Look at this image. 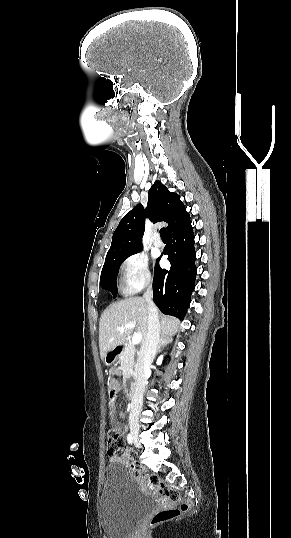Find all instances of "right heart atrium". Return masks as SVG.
<instances>
[{"label":"right heart atrium","instance_id":"right-heart-atrium-1","mask_svg":"<svg viewBox=\"0 0 291 538\" xmlns=\"http://www.w3.org/2000/svg\"><path fill=\"white\" fill-rule=\"evenodd\" d=\"M120 274L124 290L128 294H135L152 282L147 257L139 252L128 255L121 263Z\"/></svg>","mask_w":291,"mask_h":538}]
</instances>
